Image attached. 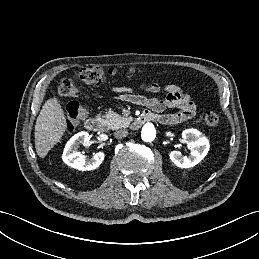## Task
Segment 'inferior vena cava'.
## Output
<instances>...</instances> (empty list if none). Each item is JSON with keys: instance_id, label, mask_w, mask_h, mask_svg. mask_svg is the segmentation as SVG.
Here are the masks:
<instances>
[{"instance_id": "obj_1", "label": "inferior vena cava", "mask_w": 259, "mask_h": 259, "mask_svg": "<svg viewBox=\"0 0 259 259\" xmlns=\"http://www.w3.org/2000/svg\"><path fill=\"white\" fill-rule=\"evenodd\" d=\"M127 135H128V131L125 129L117 130L114 133L115 138H118V139L125 138Z\"/></svg>"}]
</instances>
